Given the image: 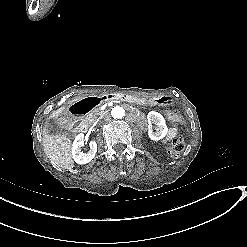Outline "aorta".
I'll use <instances>...</instances> for the list:
<instances>
[{"mask_svg": "<svg viewBox=\"0 0 247 247\" xmlns=\"http://www.w3.org/2000/svg\"><path fill=\"white\" fill-rule=\"evenodd\" d=\"M111 115L114 119H121L125 115V110L123 109V107L115 106L111 110Z\"/></svg>", "mask_w": 247, "mask_h": 247, "instance_id": "aorta-1", "label": "aorta"}]
</instances>
